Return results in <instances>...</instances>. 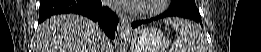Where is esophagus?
Here are the masks:
<instances>
[{
	"label": "esophagus",
	"instance_id": "esophagus-1",
	"mask_svg": "<svg viewBox=\"0 0 261 52\" xmlns=\"http://www.w3.org/2000/svg\"><path fill=\"white\" fill-rule=\"evenodd\" d=\"M118 31H120L121 35L124 37H127L131 33V27L129 20L126 17H123L120 19L119 25H118Z\"/></svg>",
	"mask_w": 261,
	"mask_h": 52
}]
</instances>
